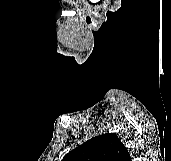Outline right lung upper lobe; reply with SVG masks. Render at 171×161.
Returning <instances> with one entry per match:
<instances>
[{"instance_id": "right-lung-upper-lobe-1", "label": "right lung upper lobe", "mask_w": 171, "mask_h": 161, "mask_svg": "<svg viewBox=\"0 0 171 161\" xmlns=\"http://www.w3.org/2000/svg\"><path fill=\"white\" fill-rule=\"evenodd\" d=\"M62 161H132L115 133L96 136L66 154Z\"/></svg>"}]
</instances>
